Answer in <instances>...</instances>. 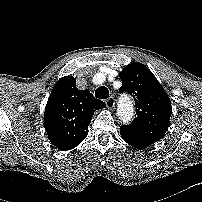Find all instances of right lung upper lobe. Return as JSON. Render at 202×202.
Returning a JSON list of instances; mask_svg holds the SVG:
<instances>
[{"label":"right lung upper lobe","mask_w":202,"mask_h":202,"mask_svg":"<svg viewBox=\"0 0 202 202\" xmlns=\"http://www.w3.org/2000/svg\"><path fill=\"white\" fill-rule=\"evenodd\" d=\"M105 103L94 98L88 89L78 90L72 76L55 84L44 113V127L50 142L61 151L78 146L88 132L94 111Z\"/></svg>","instance_id":"right-lung-upper-lobe-1"}]
</instances>
